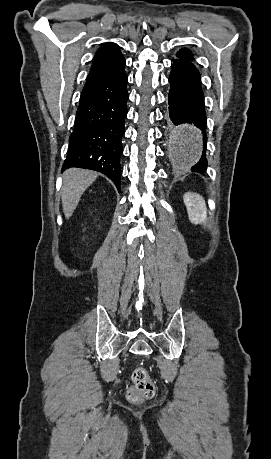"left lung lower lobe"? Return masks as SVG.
<instances>
[{
  "label": "left lung lower lobe",
  "instance_id": "1",
  "mask_svg": "<svg viewBox=\"0 0 271 459\" xmlns=\"http://www.w3.org/2000/svg\"><path fill=\"white\" fill-rule=\"evenodd\" d=\"M169 83L168 102L172 122L175 125L193 123L205 135L204 94L201 88L200 72L193 61L181 58L173 59ZM204 144H206V140H204ZM206 169L207 160L203 155L200 161L191 168V171L203 173Z\"/></svg>",
  "mask_w": 271,
  "mask_h": 459
}]
</instances>
